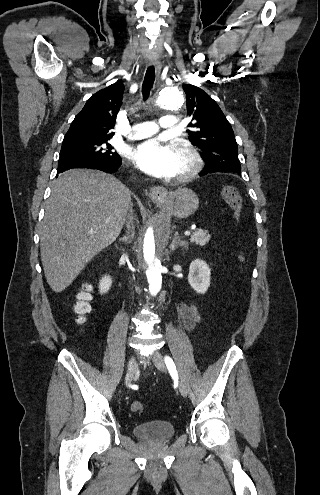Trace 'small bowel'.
Returning <instances> with one entry per match:
<instances>
[{"label": "small bowel", "mask_w": 320, "mask_h": 495, "mask_svg": "<svg viewBox=\"0 0 320 495\" xmlns=\"http://www.w3.org/2000/svg\"><path fill=\"white\" fill-rule=\"evenodd\" d=\"M178 317L186 330L191 331L201 322V316L197 306L193 302L180 304L178 308Z\"/></svg>", "instance_id": "small-bowel-1"}]
</instances>
